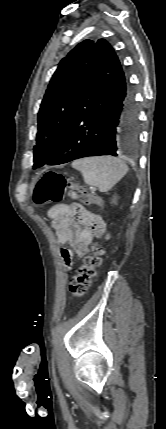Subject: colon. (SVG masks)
Listing matches in <instances>:
<instances>
[{
    "label": "colon",
    "mask_w": 166,
    "mask_h": 429,
    "mask_svg": "<svg viewBox=\"0 0 166 429\" xmlns=\"http://www.w3.org/2000/svg\"><path fill=\"white\" fill-rule=\"evenodd\" d=\"M65 196H69L85 204L102 206L101 200L96 195L83 194L65 176L53 171L46 172L41 177L33 192V200L39 205L60 202ZM103 239H108V234H105ZM103 253L102 244H94L92 253L85 258L83 264L78 268L76 275L69 282V292L72 297H81L87 293L95 276L96 269L101 264Z\"/></svg>",
    "instance_id": "colon-1"
}]
</instances>
